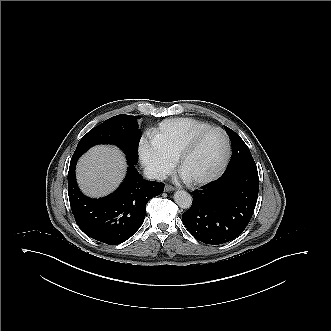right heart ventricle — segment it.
Segmentation results:
<instances>
[{
	"mask_svg": "<svg viewBox=\"0 0 331 331\" xmlns=\"http://www.w3.org/2000/svg\"><path fill=\"white\" fill-rule=\"evenodd\" d=\"M211 127L208 123L192 118H172L163 121L152 135V143L173 156L196 133Z\"/></svg>",
	"mask_w": 331,
	"mask_h": 331,
	"instance_id": "obj_1",
	"label": "right heart ventricle"
}]
</instances>
